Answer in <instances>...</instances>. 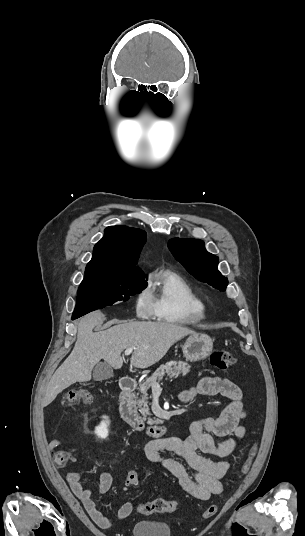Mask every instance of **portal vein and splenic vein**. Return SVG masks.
Segmentation results:
<instances>
[{"instance_id":"1","label":"portal vein and splenic vein","mask_w":305,"mask_h":536,"mask_svg":"<svg viewBox=\"0 0 305 536\" xmlns=\"http://www.w3.org/2000/svg\"><path fill=\"white\" fill-rule=\"evenodd\" d=\"M133 350H136V348H127V350H125L124 354L125 356H130V354H132ZM152 388H160L159 384H157V382H154V384H152Z\"/></svg>"}]
</instances>
